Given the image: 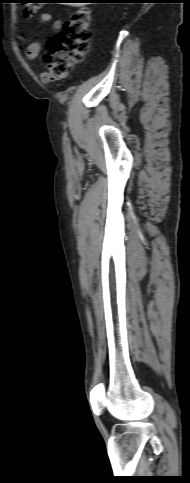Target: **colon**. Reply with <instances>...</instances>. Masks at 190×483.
Masks as SVG:
<instances>
[{"label":"colon","mask_w":190,"mask_h":483,"mask_svg":"<svg viewBox=\"0 0 190 483\" xmlns=\"http://www.w3.org/2000/svg\"><path fill=\"white\" fill-rule=\"evenodd\" d=\"M23 14L34 17L39 10L40 2L27 1ZM91 15L87 8L78 9L65 22L59 33L49 39L47 53L44 56L46 74L53 81L64 80L71 69L82 63L90 47Z\"/></svg>","instance_id":"colon-1"}]
</instances>
